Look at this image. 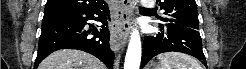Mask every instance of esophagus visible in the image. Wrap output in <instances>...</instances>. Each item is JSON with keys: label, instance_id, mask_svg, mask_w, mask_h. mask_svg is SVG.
Listing matches in <instances>:
<instances>
[{"label": "esophagus", "instance_id": "1", "mask_svg": "<svg viewBox=\"0 0 246 69\" xmlns=\"http://www.w3.org/2000/svg\"><path fill=\"white\" fill-rule=\"evenodd\" d=\"M131 0H119L116 22L111 30L110 45L117 52L125 46L130 33Z\"/></svg>", "mask_w": 246, "mask_h": 69}]
</instances>
